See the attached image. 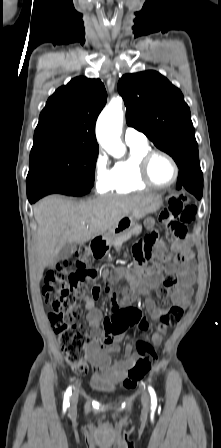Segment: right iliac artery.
<instances>
[{
    "instance_id": "obj_1",
    "label": "right iliac artery",
    "mask_w": 221,
    "mask_h": 448,
    "mask_svg": "<svg viewBox=\"0 0 221 448\" xmlns=\"http://www.w3.org/2000/svg\"><path fill=\"white\" fill-rule=\"evenodd\" d=\"M71 393H72V389H71V387H69L66 390V393L64 395V402H63V410L64 411L67 409V407H69V398L71 396Z\"/></svg>"
}]
</instances>
